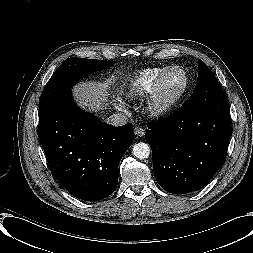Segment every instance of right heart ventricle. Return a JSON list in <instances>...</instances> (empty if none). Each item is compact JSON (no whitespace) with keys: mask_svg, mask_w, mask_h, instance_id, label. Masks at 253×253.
Listing matches in <instances>:
<instances>
[{"mask_svg":"<svg viewBox=\"0 0 253 253\" xmlns=\"http://www.w3.org/2000/svg\"><path fill=\"white\" fill-rule=\"evenodd\" d=\"M169 66L146 68L126 77L121 85V96L135 100L148 93L157 77Z\"/></svg>","mask_w":253,"mask_h":253,"instance_id":"obj_1","label":"right heart ventricle"}]
</instances>
